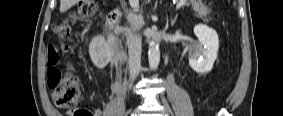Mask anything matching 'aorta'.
I'll return each mask as SVG.
<instances>
[{
  "label": "aorta",
  "instance_id": "762f6f07",
  "mask_svg": "<svg viewBox=\"0 0 283 116\" xmlns=\"http://www.w3.org/2000/svg\"><path fill=\"white\" fill-rule=\"evenodd\" d=\"M148 59H149L150 68L152 70H156L160 62V51H159L158 40L153 39L150 42L149 50H148Z\"/></svg>",
  "mask_w": 283,
  "mask_h": 116
}]
</instances>
